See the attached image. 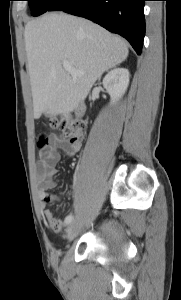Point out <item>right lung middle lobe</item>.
<instances>
[{"mask_svg": "<svg viewBox=\"0 0 181 300\" xmlns=\"http://www.w3.org/2000/svg\"><path fill=\"white\" fill-rule=\"evenodd\" d=\"M33 16H39L46 11H53L60 0H27Z\"/></svg>", "mask_w": 181, "mask_h": 300, "instance_id": "1", "label": "right lung middle lobe"}]
</instances>
